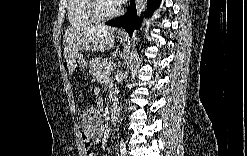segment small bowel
<instances>
[{
  "mask_svg": "<svg viewBox=\"0 0 247 156\" xmlns=\"http://www.w3.org/2000/svg\"><path fill=\"white\" fill-rule=\"evenodd\" d=\"M89 140H90L89 138L88 139H84V142L86 144L85 154L87 156H93V155H95V153L87 146V144L89 143Z\"/></svg>",
  "mask_w": 247,
  "mask_h": 156,
  "instance_id": "1",
  "label": "small bowel"
}]
</instances>
